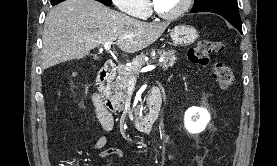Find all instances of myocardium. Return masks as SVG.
Returning <instances> with one entry per match:
<instances>
[{
  "label": "myocardium",
  "instance_id": "myocardium-1",
  "mask_svg": "<svg viewBox=\"0 0 277 166\" xmlns=\"http://www.w3.org/2000/svg\"><path fill=\"white\" fill-rule=\"evenodd\" d=\"M192 1L193 0H184L183 5L173 13H164L160 11L154 2H152L151 6H152L153 13L157 17L164 20H175L183 16L189 10V8L191 7Z\"/></svg>",
  "mask_w": 277,
  "mask_h": 166
}]
</instances>
